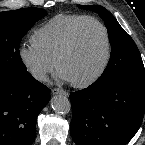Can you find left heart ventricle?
Returning a JSON list of instances; mask_svg holds the SVG:
<instances>
[{
  "label": "left heart ventricle",
  "mask_w": 145,
  "mask_h": 145,
  "mask_svg": "<svg viewBox=\"0 0 145 145\" xmlns=\"http://www.w3.org/2000/svg\"><path fill=\"white\" fill-rule=\"evenodd\" d=\"M105 53L102 29L94 22H85L78 30L74 49L61 63L60 72L70 82L84 81L100 68Z\"/></svg>",
  "instance_id": "left-heart-ventricle-1"
}]
</instances>
